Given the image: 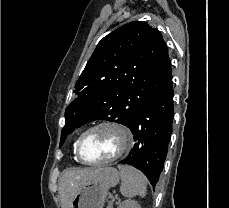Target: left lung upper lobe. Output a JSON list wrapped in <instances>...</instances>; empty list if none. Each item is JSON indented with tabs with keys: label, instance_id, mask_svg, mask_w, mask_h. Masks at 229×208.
<instances>
[{
	"label": "left lung upper lobe",
	"instance_id": "5c2ea615",
	"mask_svg": "<svg viewBox=\"0 0 229 208\" xmlns=\"http://www.w3.org/2000/svg\"><path fill=\"white\" fill-rule=\"evenodd\" d=\"M171 84V61L161 33L142 21L119 27L98 43L75 84L78 97L65 110L59 146L94 120L128 127Z\"/></svg>",
	"mask_w": 229,
	"mask_h": 208
}]
</instances>
